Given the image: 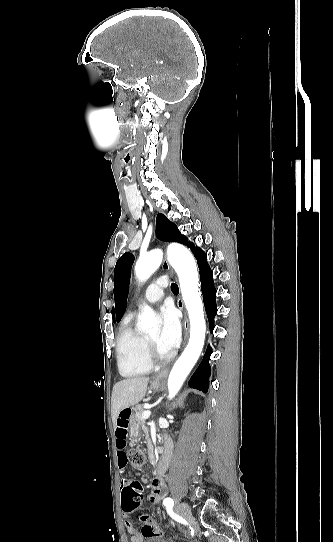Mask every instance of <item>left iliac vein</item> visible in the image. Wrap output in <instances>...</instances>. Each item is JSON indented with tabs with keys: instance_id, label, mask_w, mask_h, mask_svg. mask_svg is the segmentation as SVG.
<instances>
[{
	"instance_id": "1",
	"label": "left iliac vein",
	"mask_w": 333,
	"mask_h": 542,
	"mask_svg": "<svg viewBox=\"0 0 333 542\" xmlns=\"http://www.w3.org/2000/svg\"><path fill=\"white\" fill-rule=\"evenodd\" d=\"M176 511L188 522L194 523V518L191 513V507L188 504H186L185 502H180L176 507Z\"/></svg>"
}]
</instances>
